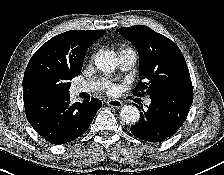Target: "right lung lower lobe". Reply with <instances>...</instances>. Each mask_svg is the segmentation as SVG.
I'll return each instance as SVG.
<instances>
[{"label":"right lung lower lobe","instance_id":"right-lung-lower-lobe-1","mask_svg":"<svg viewBox=\"0 0 224 175\" xmlns=\"http://www.w3.org/2000/svg\"><path fill=\"white\" fill-rule=\"evenodd\" d=\"M26 117L47 141L60 145L86 132L102 102L71 103L69 93H42L24 98Z\"/></svg>","mask_w":224,"mask_h":175}]
</instances>
